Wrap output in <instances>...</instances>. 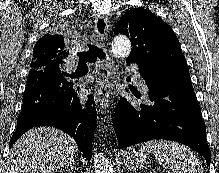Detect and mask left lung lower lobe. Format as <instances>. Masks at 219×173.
Returning a JSON list of instances; mask_svg holds the SVG:
<instances>
[{
    "label": "left lung lower lobe",
    "mask_w": 219,
    "mask_h": 173,
    "mask_svg": "<svg viewBox=\"0 0 219 173\" xmlns=\"http://www.w3.org/2000/svg\"><path fill=\"white\" fill-rule=\"evenodd\" d=\"M139 73L149 88L151 104L118 101L113 123L118 148L152 139L177 141L200 153L210 166L206 127L191 81L162 84L163 74L152 67L139 66Z\"/></svg>",
    "instance_id": "1"
}]
</instances>
